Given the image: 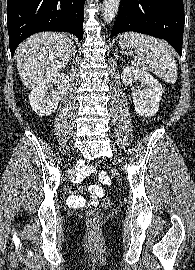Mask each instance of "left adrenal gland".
Segmentation results:
<instances>
[{
  "label": "left adrenal gland",
  "instance_id": "a2214340",
  "mask_svg": "<svg viewBox=\"0 0 195 270\" xmlns=\"http://www.w3.org/2000/svg\"><path fill=\"white\" fill-rule=\"evenodd\" d=\"M115 55L117 56V51L115 52Z\"/></svg>",
  "mask_w": 195,
  "mask_h": 270
}]
</instances>
